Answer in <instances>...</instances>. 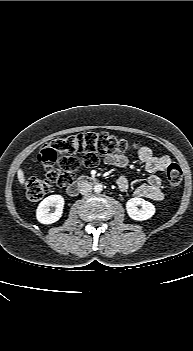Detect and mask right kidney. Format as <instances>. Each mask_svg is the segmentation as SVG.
<instances>
[{
  "mask_svg": "<svg viewBox=\"0 0 193 351\" xmlns=\"http://www.w3.org/2000/svg\"><path fill=\"white\" fill-rule=\"evenodd\" d=\"M55 207V212H50V207ZM64 198L61 195H50L46 197L37 207L36 218L42 224L57 222L63 213Z\"/></svg>",
  "mask_w": 193,
  "mask_h": 351,
  "instance_id": "obj_1",
  "label": "right kidney"
}]
</instances>
